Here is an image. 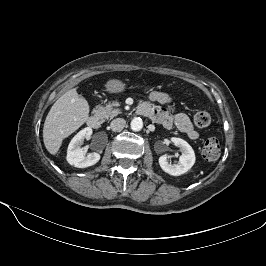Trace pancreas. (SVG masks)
Listing matches in <instances>:
<instances>
[{"instance_id":"obj_1","label":"pancreas","mask_w":266,"mask_h":266,"mask_svg":"<svg viewBox=\"0 0 266 266\" xmlns=\"http://www.w3.org/2000/svg\"><path fill=\"white\" fill-rule=\"evenodd\" d=\"M120 106L119 102H112L107 104L106 106H97V112L103 117V118H113L117 116L118 114H121V110L115 107Z\"/></svg>"}]
</instances>
